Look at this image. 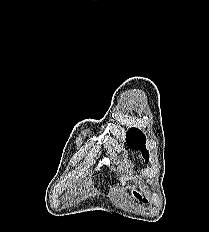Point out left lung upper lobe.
Returning a JSON list of instances; mask_svg holds the SVG:
<instances>
[{
	"label": "left lung upper lobe",
	"instance_id": "1",
	"mask_svg": "<svg viewBox=\"0 0 209 232\" xmlns=\"http://www.w3.org/2000/svg\"><path fill=\"white\" fill-rule=\"evenodd\" d=\"M126 141L132 148L143 152L146 163L149 161V152L145 148L146 137L138 128H130L127 131Z\"/></svg>",
	"mask_w": 209,
	"mask_h": 232
}]
</instances>
